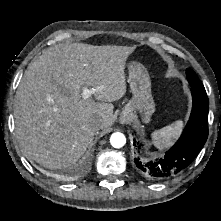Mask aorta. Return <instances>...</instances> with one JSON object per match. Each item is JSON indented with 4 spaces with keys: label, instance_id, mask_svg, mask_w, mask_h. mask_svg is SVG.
<instances>
[{
    "label": "aorta",
    "instance_id": "aorta-1",
    "mask_svg": "<svg viewBox=\"0 0 221 221\" xmlns=\"http://www.w3.org/2000/svg\"><path fill=\"white\" fill-rule=\"evenodd\" d=\"M110 143L114 148H121L126 143V138L123 133L115 132L110 137Z\"/></svg>",
    "mask_w": 221,
    "mask_h": 221
}]
</instances>
